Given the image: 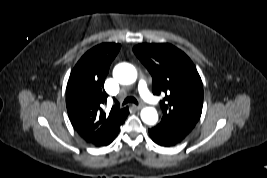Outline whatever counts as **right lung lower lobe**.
<instances>
[{"label":"right lung lower lobe","instance_id":"right-lung-lower-lobe-1","mask_svg":"<svg viewBox=\"0 0 267 178\" xmlns=\"http://www.w3.org/2000/svg\"><path fill=\"white\" fill-rule=\"evenodd\" d=\"M128 114H129V111H127V115ZM127 115H126V117H127ZM126 117L124 118V120L122 122H120L118 125L113 127L102 139H100L96 142H88V143H90L96 147H102V146L109 145L118 135L120 126L124 123Z\"/></svg>","mask_w":267,"mask_h":178}]
</instances>
